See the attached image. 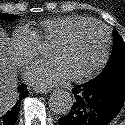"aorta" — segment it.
<instances>
[{"mask_svg":"<svg viewBox=\"0 0 125 125\" xmlns=\"http://www.w3.org/2000/svg\"><path fill=\"white\" fill-rule=\"evenodd\" d=\"M74 103V98L71 93L66 90H55L49 99V107L53 112L60 115H65L70 112Z\"/></svg>","mask_w":125,"mask_h":125,"instance_id":"762f6f07","label":"aorta"}]
</instances>
